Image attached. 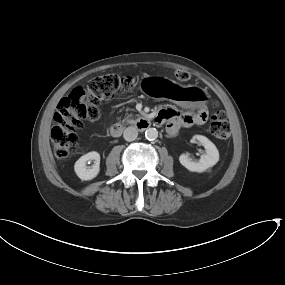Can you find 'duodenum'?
<instances>
[{
	"instance_id": "1",
	"label": "duodenum",
	"mask_w": 285,
	"mask_h": 285,
	"mask_svg": "<svg viewBox=\"0 0 285 285\" xmlns=\"http://www.w3.org/2000/svg\"><path fill=\"white\" fill-rule=\"evenodd\" d=\"M149 126V121L147 119H141L137 124V129L145 130ZM124 130V126L121 123H115L110 128V133L115 136L119 137Z\"/></svg>"
}]
</instances>
